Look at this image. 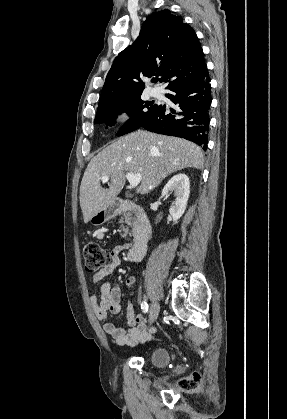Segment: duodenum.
Here are the masks:
<instances>
[{"mask_svg":"<svg viewBox=\"0 0 287 419\" xmlns=\"http://www.w3.org/2000/svg\"><path fill=\"white\" fill-rule=\"evenodd\" d=\"M114 213L132 211L137 215V225L134 232V241L128 250L127 258L130 261L140 260L146 250L147 243L152 234V223L143 208L136 202L129 199H115L112 203Z\"/></svg>","mask_w":287,"mask_h":419,"instance_id":"obj_1","label":"duodenum"}]
</instances>
